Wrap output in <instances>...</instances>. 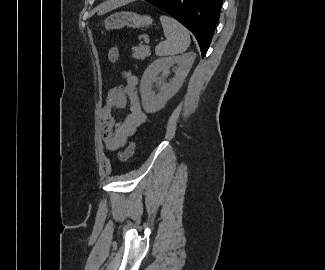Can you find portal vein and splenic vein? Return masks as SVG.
<instances>
[{
  "mask_svg": "<svg viewBox=\"0 0 325 270\" xmlns=\"http://www.w3.org/2000/svg\"><path fill=\"white\" fill-rule=\"evenodd\" d=\"M149 41H150L149 39H145V42H146V43H149Z\"/></svg>",
  "mask_w": 325,
  "mask_h": 270,
  "instance_id": "18ae733b",
  "label": "portal vein and splenic vein"
}]
</instances>
